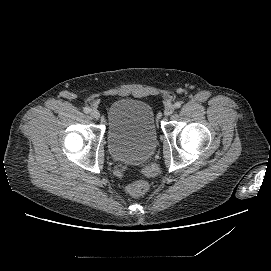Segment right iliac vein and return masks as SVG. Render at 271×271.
<instances>
[{"label": "right iliac vein", "instance_id": "1", "mask_svg": "<svg viewBox=\"0 0 271 271\" xmlns=\"http://www.w3.org/2000/svg\"><path fill=\"white\" fill-rule=\"evenodd\" d=\"M90 115L94 119H99L100 118V112L97 109H92L90 111Z\"/></svg>", "mask_w": 271, "mask_h": 271}]
</instances>
